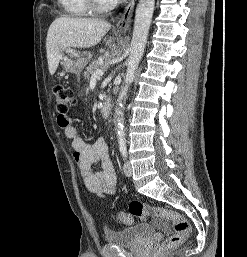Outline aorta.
I'll list each match as a JSON object with an SVG mask.
<instances>
[{"label": "aorta", "instance_id": "1", "mask_svg": "<svg viewBox=\"0 0 247 257\" xmlns=\"http://www.w3.org/2000/svg\"><path fill=\"white\" fill-rule=\"evenodd\" d=\"M154 5L155 0H139L136 8L133 35L129 49L130 55L127 60L125 85L119 94L115 110L116 131L119 139L124 138L125 135L123 118L124 103L127 97L128 88L134 80L135 71L138 68L145 50L154 12Z\"/></svg>", "mask_w": 247, "mask_h": 257}]
</instances>
